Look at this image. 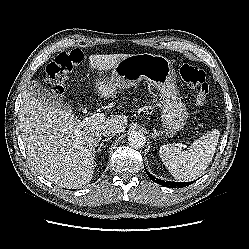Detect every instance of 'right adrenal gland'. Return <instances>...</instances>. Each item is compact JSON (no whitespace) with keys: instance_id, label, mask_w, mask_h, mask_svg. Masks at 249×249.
Returning a JSON list of instances; mask_svg holds the SVG:
<instances>
[{"instance_id":"right-adrenal-gland-1","label":"right adrenal gland","mask_w":249,"mask_h":249,"mask_svg":"<svg viewBox=\"0 0 249 249\" xmlns=\"http://www.w3.org/2000/svg\"><path fill=\"white\" fill-rule=\"evenodd\" d=\"M109 140H110V137L105 138L104 140H102V142H101V144L99 145L97 151H98V152H101V149H102V147L104 146V143L107 142V141H109Z\"/></svg>"}]
</instances>
